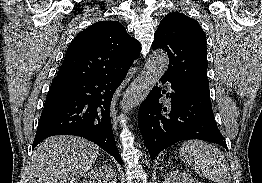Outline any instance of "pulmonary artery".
Returning <instances> with one entry per match:
<instances>
[{
	"instance_id": "obj_1",
	"label": "pulmonary artery",
	"mask_w": 262,
	"mask_h": 183,
	"mask_svg": "<svg viewBox=\"0 0 262 183\" xmlns=\"http://www.w3.org/2000/svg\"><path fill=\"white\" fill-rule=\"evenodd\" d=\"M166 86H167L168 90L171 91V84L169 82L166 83Z\"/></svg>"
}]
</instances>
